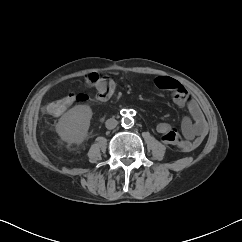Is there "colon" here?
<instances>
[{
    "label": "colon",
    "mask_w": 242,
    "mask_h": 242,
    "mask_svg": "<svg viewBox=\"0 0 242 242\" xmlns=\"http://www.w3.org/2000/svg\"><path fill=\"white\" fill-rule=\"evenodd\" d=\"M95 81H96V79L92 78L91 82L94 83ZM110 96H111V93L108 89L101 88V89H99V91L97 90L96 97L99 100H106ZM86 99H87V96L85 94H79L77 96V100H79V101H84ZM68 107H69V102L66 99V97H64V98H61L59 100L49 103L47 106V110L49 113H51L53 115H59V114L63 113Z\"/></svg>",
    "instance_id": "obj_1"
}]
</instances>
